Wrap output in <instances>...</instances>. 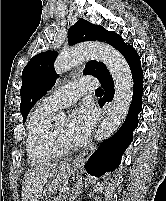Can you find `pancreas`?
Segmentation results:
<instances>
[{
  "mask_svg": "<svg viewBox=\"0 0 166 201\" xmlns=\"http://www.w3.org/2000/svg\"><path fill=\"white\" fill-rule=\"evenodd\" d=\"M56 201H65V199L64 198H60V199H58Z\"/></svg>",
  "mask_w": 166,
  "mask_h": 201,
  "instance_id": "obj_1",
  "label": "pancreas"
}]
</instances>
